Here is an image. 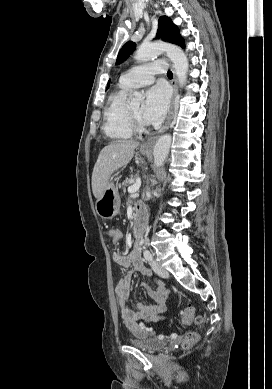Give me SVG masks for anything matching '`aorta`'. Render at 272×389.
Segmentation results:
<instances>
[{
    "label": "aorta",
    "instance_id": "aorta-1",
    "mask_svg": "<svg viewBox=\"0 0 272 389\" xmlns=\"http://www.w3.org/2000/svg\"><path fill=\"white\" fill-rule=\"evenodd\" d=\"M163 52L173 62L178 82L181 86H184L187 81L189 63L187 56L180 47L169 43L153 42L140 46L135 53V59L145 62L157 57ZM143 100V94L137 91L133 92L129 97L130 103H141ZM171 141L172 137L170 134H164L157 140L153 150L154 164L156 167L163 166L170 150Z\"/></svg>",
    "mask_w": 272,
    "mask_h": 389
}]
</instances>
